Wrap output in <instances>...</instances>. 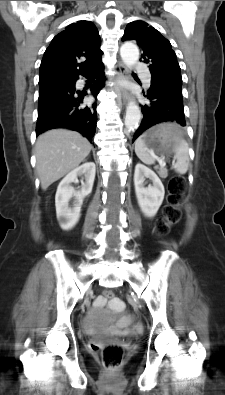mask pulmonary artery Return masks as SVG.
Returning <instances> with one entry per match:
<instances>
[{
    "label": "pulmonary artery",
    "mask_w": 225,
    "mask_h": 395,
    "mask_svg": "<svg viewBox=\"0 0 225 395\" xmlns=\"http://www.w3.org/2000/svg\"><path fill=\"white\" fill-rule=\"evenodd\" d=\"M136 68L140 71L145 85L149 86L150 83H151V74H150V72L142 64H137Z\"/></svg>",
    "instance_id": "e3ab8cb5"
}]
</instances>
